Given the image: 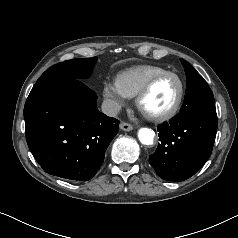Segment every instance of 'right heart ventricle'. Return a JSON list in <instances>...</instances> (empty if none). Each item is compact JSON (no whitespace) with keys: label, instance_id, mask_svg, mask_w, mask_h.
Listing matches in <instances>:
<instances>
[{"label":"right heart ventricle","instance_id":"right-heart-ventricle-1","mask_svg":"<svg viewBox=\"0 0 238 238\" xmlns=\"http://www.w3.org/2000/svg\"><path fill=\"white\" fill-rule=\"evenodd\" d=\"M165 71L154 65L136 66L120 72L116 81L128 98H134L151 77Z\"/></svg>","mask_w":238,"mask_h":238}]
</instances>
